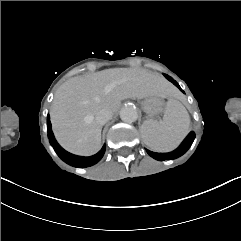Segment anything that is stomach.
<instances>
[{"label":"stomach","instance_id":"stomach-1","mask_svg":"<svg viewBox=\"0 0 241 241\" xmlns=\"http://www.w3.org/2000/svg\"><path fill=\"white\" fill-rule=\"evenodd\" d=\"M143 111L149 116L154 118L160 115L164 110V102L159 97H148L141 102Z\"/></svg>","mask_w":241,"mask_h":241}]
</instances>
